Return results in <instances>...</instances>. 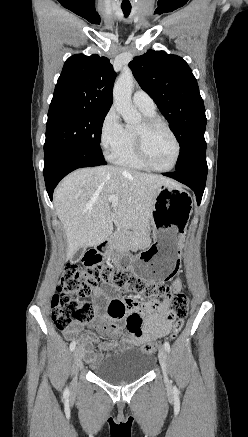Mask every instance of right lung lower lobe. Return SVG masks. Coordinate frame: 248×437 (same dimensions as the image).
<instances>
[{
    "instance_id": "1",
    "label": "right lung lower lobe",
    "mask_w": 248,
    "mask_h": 437,
    "mask_svg": "<svg viewBox=\"0 0 248 437\" xmlns=\"http://www.w3.org/2000/svg\"><path fill=\"white\" fill-rule=\"evenodd\" d=\"M105 164L104 157L73 147H57L45 152L43 174L50 199L56 185L71 171Z\"/></svg>"
}]
</instances>
